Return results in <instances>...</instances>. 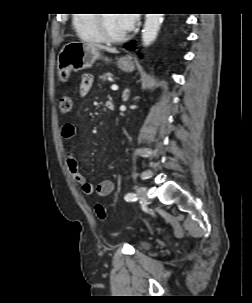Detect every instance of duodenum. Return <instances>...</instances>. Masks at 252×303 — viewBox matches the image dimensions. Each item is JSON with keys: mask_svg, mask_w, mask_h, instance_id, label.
<instances>
[{"mask_svg": "<svg viewBox=\"0 0 252 303\" xmlns=\"http://www.w3.org/2000/svg\"><path fill=\"white\" fill-rule=\"evenodd\" d=\"M106 107L109 110H113L114 109V103L112 101H107L106 102Z\"/></svg>", "mask_w": 252, "mask_h": 303, "instance_id": "410a0bca", "label": "duodenum"}]
</instances>
